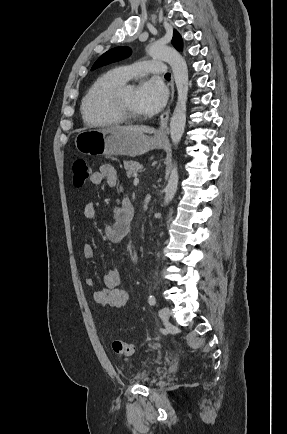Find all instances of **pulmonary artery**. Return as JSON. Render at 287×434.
<instances>
[{
    "instance_id": "pulmonary-artery-1",
    "label": "pulmonary artery",
    "mask_w": 287,
    "mask_h": 434,
    "mask_svg": "<svg viewBox=\"0 0 287 434\" xmlns=\"http://www.w3.org/2000/svg\"><path fill=\"white\" fill-rule=\"evenodd\" d=\"M121 76L127 81L134 77H141L147 74L161 75L165 73V64L157 61H139L135 64L119 68Z\"/></svg>"
}]
</instances>
